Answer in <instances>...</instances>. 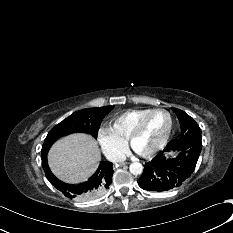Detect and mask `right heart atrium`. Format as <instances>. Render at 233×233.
Here are the masks:
<instances>
[{"label":"right heart atrium","mask_w":233,"mask_h":233,"mask_svg":"<svg viewBox=\"0 0 233 233\" xmlns=\"http://www.w3.org/2000/svg\"><path fill=\"white\" fill-rule=\"evenodd\" d=\"M98 143L104 155L111 161H119L125 154L126 144L108 130L101 129L98 132Z\"/></svg>","instance_id":"1"}]
</instances>
